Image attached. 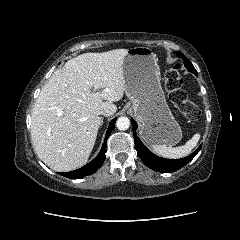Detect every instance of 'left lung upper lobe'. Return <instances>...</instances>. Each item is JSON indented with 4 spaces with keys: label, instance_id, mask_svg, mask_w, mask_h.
<instances>
[{
    "label": "left lung upper lobe",
    "instance_id": "obj_1",
    "mask_svg": "<svg viewBox=\"0 0 240 240\" xmlns=\"http://www.w3.org/2000/svg\"><path fill=\"white\" fill-rule=\"evenodd\" d=\"M180 58L183 59L184 65L187 68L188 71L192 72L193 74H197L196 69L192 65V63L189 61V59L181 52H175Z\"/></svg>",
    "mask_w": 240,
    "mask_h": 240
}]
</instances>
